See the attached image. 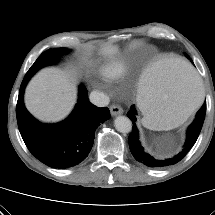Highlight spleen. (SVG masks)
Here are the masks:
<instances>
[{
    "label": "spleen",
    "instance_id": "obj_1",
    "mask_svg": "<svg viewBox=\"0 0 215 215\" xmlns=\"http://www.w3.org/2000/svg\"><path fill=\"white\" fill-rule=\"evenodd\" d=\"M204 86L181 58H165L141 76L137 102L143 125L152 130L170 129L184 122L202 101Z\"/></svg>",
    "mask_w": 215,
    "mask_h": 215
}]
</instances>
